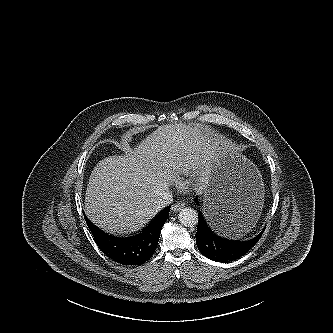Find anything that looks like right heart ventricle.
<instances>
[{
  "label": "right heart ventricle",
  "mask_w": 333,
  "mask_h": 333,
  "mask_svg": "<svg viewBox=\"0 0 333 333\" xmlns=\"http://www.w3.org/2000/svg\"><path fill=\"white\" fill-rule=\"evenodd\" d=\"M179 170L183 173H185L187 171V165H181Z\"/></svg>",
  "instance_id": "obj_1"
}]
</instances>
